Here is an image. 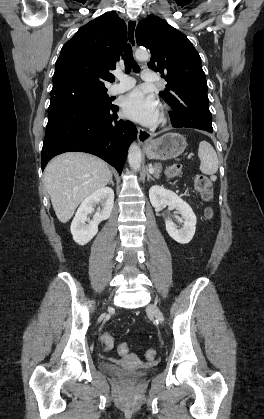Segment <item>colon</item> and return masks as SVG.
<instances>
[{"instance_id":"5ec220e1","label":"colon","mask_w":264,"mask_h":419,"mask_svg":"<svg viewBox=\"0 0 264 419\" xmlns=\"http://www.w3.org/2000/svg\"><path fill=\"white\" fill-rule=\"evenodd\" d=\"M180 173H181V166L179 164H171V165L167 166L166 169H165V175L168 178L177 177ZM194 186H195V189L201 194V196L204 200L208 201V200L211 199V197H212V182H211L209 177L204 176V175L197 176L195 178V181H194ZM206 215H207L208 218H211L212 217V210L208 208L206 210ZM101 341H102V345H103L104 349H106V350L112 349V347L114 345V340H113V337L110 334L105 333L102 336ZM122 351L124 353L129 352V346L126 343L123 346ZM155 357H156V353H155L154 350L149 349L146 352L147 360L153 361L155 359Z\"/></svg>"}]
</instances>
